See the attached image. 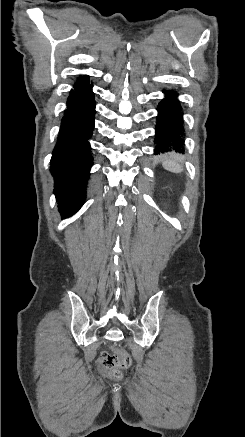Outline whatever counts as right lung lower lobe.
Segmentation results:
<instances>
[{
    "label": "right lung lower lobe",
    "mask_w": 245,
    "mask_h": 437,
    "mask_svg": "<svg viewBox=\"0 0 245 437\" xmlns=\"http://www.w3.org/2000/svg\"><path fill=\"white\" fill-rule=\"evenodd\" d=\"M92 85L71 90L52 153L54 193L62 218L75 214L85 202L86 184L93 163L88 139L94 128Z\"/></svg>",
    "instance_id": "1"
}]
</instances>
